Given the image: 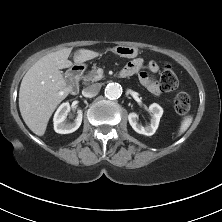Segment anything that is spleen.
<instances>
[{"mask_svg":"<svg viewBox=\"0 0 222 222\" xmlns=\"http://www.w3.org/2000/svg\"><path fill=\"white\" fill-rule=\"evenodd\" d=\"M193 121V117L192 116H185L181 122V126L179 128V132L178 135L183 134L191 125Z\"/></svg>","mask_w":222,"mask_h":222,"instance_id":"spleen-1","label":"spleen"}]
</instances>
